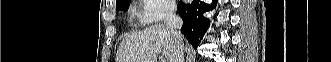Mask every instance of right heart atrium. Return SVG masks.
<instances>
[{
  "label": "right heart atrium",
  "mask_w": 331,
  "mask_h": 62,
  "mask_svg": "<svg viewBox=\"0 0 331 62\" xmlns=\"http://www.w3.org/2000/svg\"><path fill=\"white\" fill-rule=\"evenodd\" d=\"M174 7L173 0H141L138 16L143 24L158 23L169 18Z\"/></svg>",
  "instance_id": "obj_1"
}]
</instances>
